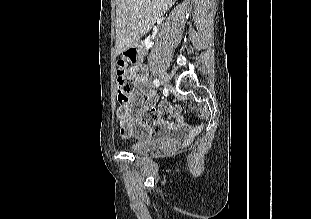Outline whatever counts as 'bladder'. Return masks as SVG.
Here are the masks:
<instances>
[{"mask_svg": "<svg viewBox=\"0 0 311 219\" xmlns=\"http://www.w3.org/2000/svg\"><path fill=\"white\" fill-rule=\"evenodd\" d=\"M152 142H135L130 146V149L133 153L136 154H145L152 150Z\"/></svg>", "mask_w": 311, "mask_h": 219, "instance_id": "bladder-1", "label": "bladder"}]
</instances>
